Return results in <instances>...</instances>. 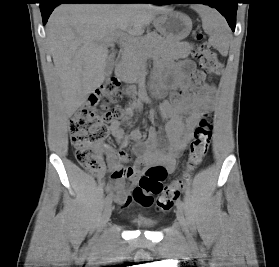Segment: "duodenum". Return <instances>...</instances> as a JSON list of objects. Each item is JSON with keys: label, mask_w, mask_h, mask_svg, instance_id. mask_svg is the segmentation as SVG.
Wrapping results in <instances>:
<instances>
[{"label": "duodenum", "mask_w": 279, "mask_h": 267, "mask_svg": "<svg viewBox=\"0 0 279 267\" xmlns=\"http://www.w3.org/2000/svg\"><path fill=\"white\" fill-rule=\"evenodd\" d=\"M124 73V64L122 61H118L115 65V74L118 78L122 77Z\"/></svg>", "instance_id": "duodenum-1"}]
</instances>
